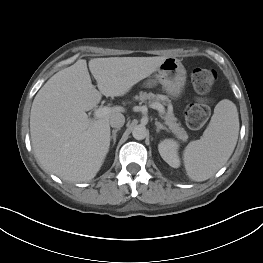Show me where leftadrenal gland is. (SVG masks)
<instances>
[{"label": "left adrenal gland", "instance_id": "obj_1", "mask_svg": "<svg viewBox=\"0 0 263 263\" xmlns=\"http://www.w3.org/2000/svg\"><path fill=\"white\" fill-rule=\"evenodd\" d=\"M155 125L157 127L156 132H159L160 130H166L167 132H169L168 128H166L163 124H161L158 121H155Z\"/></svg>", "mask_w": 263, "mask_h": 263}]
</instances>
